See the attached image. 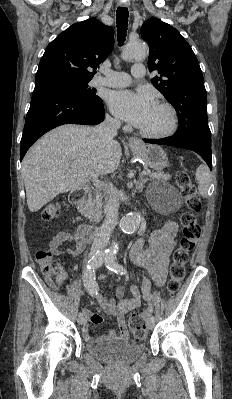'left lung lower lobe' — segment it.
Instances as JSON below:
<instances>
[{
	"label": "left lung lower lobe",
	"instance_id": "1",
	"mask_svg": "<svg viewBox=\"0 0 232 399\" xmlns=\"http://www.w3.org/2000/svg\"><path fill=\"white\" fill-rule=\"evenodd\" d=\"M144 142L159 145H171L192 150L198 153L212 170L211 146H206L196 140L176 137L175 135L164 139H144Z\"/></svg>",
	"mask_w": 232,
	"mask_h": 399
}]
</instances>
